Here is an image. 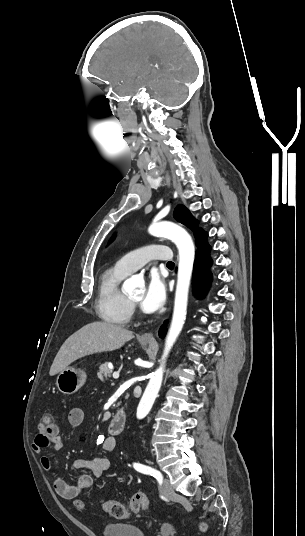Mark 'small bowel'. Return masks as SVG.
<instances>
[{"label":"small bowel","instance_id":"1","mask_svg":"<svg viewBox=\"0 0 305 536\" xmlns=\"http://www.w3.org/2000/svg\"><path fill=\"white\" fill-rule=\"evenodd\" d=\"M84 420L85 412L82 408L74 407L69 411L68 421L70 425L80 426ZM97 441H99L101 449L105 452H111L116 447V440L110 436H103ZM63 445L64 441L60 435L58 425H55V427H37V432L32 442L34 452L40 453L47 447L60 450ZM40 464L45 471H49L52 468V462L47 456L40 458ZM110 466V460L104 456L74 459L71 462V467L74 470H87L90 474L81 475L75 485H69L65 480L58 478L54 481V490L58 496L66 500L68 495H75L89 489L93 484V479L100 478L110 469Z\"/></svg>","mask_w":305,"mask_h":536}]
</instances>
